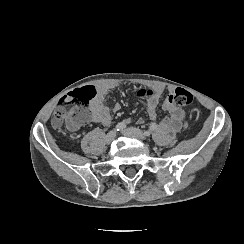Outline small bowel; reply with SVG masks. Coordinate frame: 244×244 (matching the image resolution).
Listing matches in <instances>:
<instances>
[{
    "instance_id": "c3829d8e",
    "label": "small bowel",
    "mask_w": 244,
    "mask_h": 244,
    "mask_svg": "<svg viewBox=\"0 0 244 244\" xmlns=\"http://www.w3.org/2000/svg\"><path fill=\"white\" fill-rule=\"evenodd\" d=\"M115 83L105 82L97 86L98 93L96 97L90 102L89 108L92 112V117L89 122L95 124H101L104 126L109 125L112 122V114L109 109L104 105V100L108 93L115 88ZM92 86H87L84 89H90ZM164 89L160 86L144 89L138 93L140 98L145 99L147 104V115L149 119L155 120L157 118V109L161 103V96ZM173 90H169V95L161 103L162 109L169 115L166 116L161 126L164 130L171 132H183L188 128V121L185 111L178 107L172 101ZM119 107L115 106V110ZM141 122V120L139 121Z\"/></svg>"
}]
</instances>
